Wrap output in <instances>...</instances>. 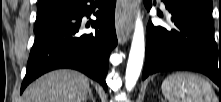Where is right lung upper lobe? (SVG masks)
<instances>
[{"instance_id": "cb5924a9", "label": "right lung upper lobe", "mask_w": 221, "mask_h": 102, "mask_svg": "<svg viewBox=\"0 0 221 102\" xmlns=\"http://www.w3.org/2000/svg\"><path fill=\"white\" fill-rule=\"evenodd\" d=\"M57 1H60V0H39L38 8H44V7L51 6L54 3H56Z\"/></svg>"}]
</instances>
